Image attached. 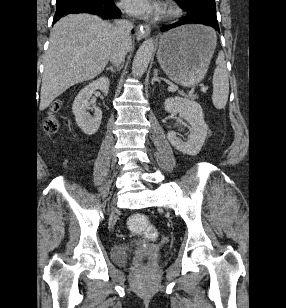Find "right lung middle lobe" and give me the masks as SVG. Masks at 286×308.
<instances>
[{"label": "right lung middle lobe", "mask_w": 286, "mask_h": 308, "mask_svg": "<svg viewBox=\"0 0 286 308\" xmlns=\"http://www.w3.org/2000/svg\"><path fill=\"white\" fill-rule=\"evenodd\" d=\"M60 1H63V0H57V2H60Z\"/></svg>", "instance_id": "dd1d6c3e"}]
</instances>
